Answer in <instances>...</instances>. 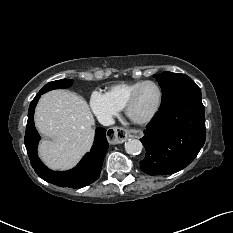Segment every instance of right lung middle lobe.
Segmentation results:
<instances>
[{"mask_svg": "<svg viewBox=\"0 0 233 233\" xmlns=\"http://www.w3.org/2000/svg\"><path fill=\"white\" fill-rule=\"evenodd\" d=\"M72 84L71 79H63L49 82L38 93L44 94L53 89L67 88Z\"/></svg>", "mask_w": 233, "mask_h": 233, "instance_id": "obj_1", "label": "right lung middle lobe"}]
</instances>
